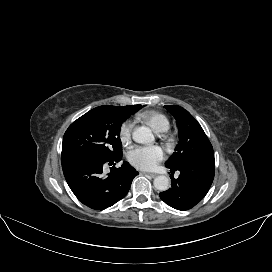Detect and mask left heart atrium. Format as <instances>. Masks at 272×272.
I'll return each mask as SVG.
<instances>
[{
  "label": "left heart atrium",
  "mask_w": 272,
  "mask_h": 272,
  "mask_svg": "<svg viewBox=\"0 0 272 272\" xmlns=\"http://www.w3.org/2000/svg\"><path fill=\"white\" fill-rule=\"evenodd\" d=\"M163 151L158 146H136L129 151L130 163L142 170L153 169L162 159Z\"/></svg>",
  "instance_id": "left-heart-atrium-1"
}]
</instances>
